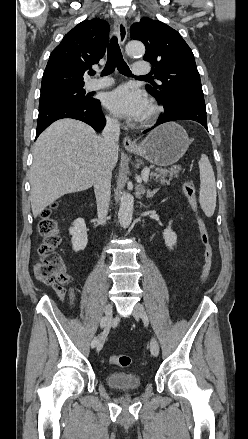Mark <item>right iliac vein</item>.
<instances>
[{"label": "right iliac vein", "instance_id": "63e3f726", "mask_svg": "<svg viewBox=\"0 0 248 439\" xmlns=\"http://www.w3.org/2000/svg\"><path fill=\"white\" fill-rule=\"evenodd\" d=\"M112 312H113V305L111 303H108L106 305L105 308V327H109L110 323H111V319H112ZM105 338H102L101 336L98 338L97 340V344H96V350L100 351L103 347Z\"/></svg>", "mask_w": 248, "mask_h": 439}]
</instances>
